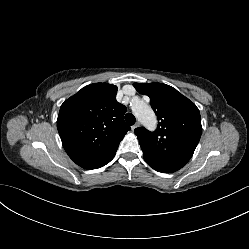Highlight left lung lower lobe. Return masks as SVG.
Here are the masks:
<instances>
[{
    "instance_id": "1",
    "label": "left lung lower lobe",
    "mask_w": 249,
    "mask_h": 249,
    "mask_svg": "<svg viewBox=\"0 0 249 249\" xmlns=\"http://www.w3.org/2000/svg\"><path fill=\"white\" fill-rule=\"evenodd\" d=\"M149 165L156 171L163 172V173H173L179 170L178 168L170 167V166H162V165H156V164H149Z\"/></svg>"
}]
</instances>
